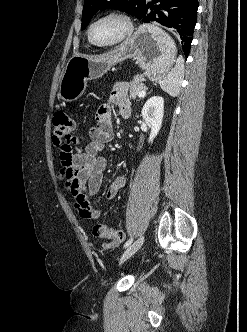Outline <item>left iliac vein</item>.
<instances>
[{
    "mask_svg": "<svg viewBox=\"0 0 247 332\" xmlns=\"http://www.w3.org/2000/svg\"><path fill=\"white\" fill-rule=\"evenodd\" d=\"M143 242H144V236L139 237L135 242H133L123 253L120 259V264L125 262L132 255H134L141 248Z\"/></svg>",
    "mask_w": 247,
    "mask_h": 332,
    "instance_id": "1",
    "label": "left iliac vein"
}]
</instances>
